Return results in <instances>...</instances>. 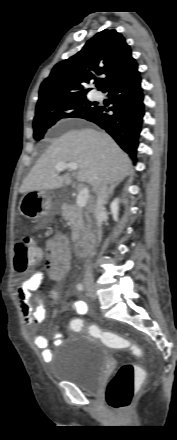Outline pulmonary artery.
I'll use <instances>...</instances> for the list:
<instances>
[{"instance_id": "e3ab8cb5", "label": "pulmonary artery", "mask_w": 177, "mask_h": 440, "mask_svg": "<svg viewBox=\"0 0 177 440\" xmlns=\"http://www.w3.org/2000/svg\"><path fill=\"white\" fill-rule=\"evenodd\" d=\"M101 98H102L101 94H99V93H96V94H95V99L99 100V99H101Z\"/></svg>"}]
</instances>
